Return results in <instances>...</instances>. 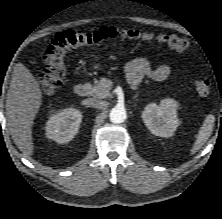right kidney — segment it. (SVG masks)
I'll return each instance as SVG.
<instances>
[{"mask_svg":"<svg viewBox=\"0 0 222 219\" xmlns=\"http://www.w3.org/2000/svg\"><path fill=\"white\" fill-rule=\"evenodd\" d=\"M82 113L76 108H66L53 113L45 127L46 136L59 144L71 141L78 133Z\"/></svg>","mask_w":222,"mask_h":219,"instance_id":"1","label":"right kidney"}]
</instances>
